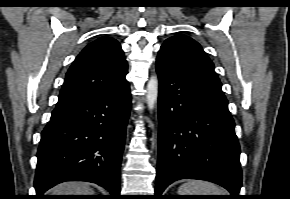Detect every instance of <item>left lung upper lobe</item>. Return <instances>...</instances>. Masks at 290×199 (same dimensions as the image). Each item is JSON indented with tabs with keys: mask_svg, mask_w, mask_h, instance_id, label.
Here are the masks:
<instances>
[{
	"mask_svg": "<svg viewBox=\"0 0 290 199\" xmlns=\"http://www.w3.org/2000/svg\"><path fill=\"white\" fill-rule=\"evenodd\" d=\"M160 51L183 68L220 83L214 71V64L200 44L192 38L181 34L170 37L161 46Z\"/></svg>",
	"mask_w": 290,
	"mask_h": 199,
	"instance_id": "5c2ea615",
	"label": "left lung upper lobe"
}]
</instances>
